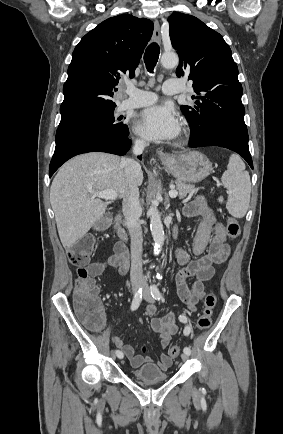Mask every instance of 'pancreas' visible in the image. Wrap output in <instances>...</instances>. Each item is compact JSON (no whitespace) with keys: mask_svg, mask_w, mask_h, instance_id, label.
Here are the masks:
<instances>
[{"mask_svg":"<svg viewBox=\"0 0 283 434\" xmlns=\"http://www.w3.org/2000/svg\"><path fill=\"white\" fill-rule=\"evenodd\" d=\"M176 188L179 192V197L184 198L188 194H193L195 192V186L191 184H186L184 182L177 181Z\"/></svg>","mask_w":283,"mask_h":434,"instance_id":"pancreas-1","label":"pancreas"}]
</instances>
